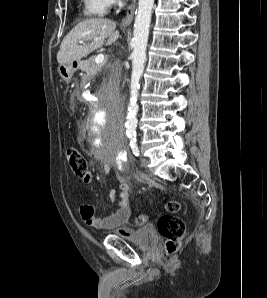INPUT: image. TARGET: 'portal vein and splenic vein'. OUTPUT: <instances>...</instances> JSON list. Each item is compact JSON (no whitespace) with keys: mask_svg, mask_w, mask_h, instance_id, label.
I'll return each mask as SVG.
<instances>
[{"mask_svg":"<svg viewBox=\"0 0 267 298\" xmlns=\"http://www.w3.org/2000/svg\"><path fill=\"white\" fill-rule=\"evenodd\" d=\"M79 43L83 44L84 41H83V40H80ZM104 59H105L104 55H103V54H99V55H97V57L95 58V63H96V64L103 63Z\"/></svg>","mask_w":267,"mask_h":298,"instance_id":"18ae733b","label":"portal vein and splenic vein"}]
</instances>
